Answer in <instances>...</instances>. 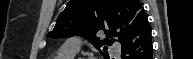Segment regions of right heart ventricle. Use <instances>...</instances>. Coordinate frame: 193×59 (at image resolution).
I'll return each mask as SVG.
<instances>
[{
    "label": "right heart ventricle",
    "instance_id": "1",
    "mask_svg": "<svg viewBox=\"0 0 193 59\" xmlns=\"http://www.w3.org/2000/svg\"><path fill=\"white\" fill-rule=\"evenodd\" d=\"M76 53L66 50L63 47L58 50L53 59H73Z\"/></svg>",
    "mask_w": 193,
    "mask_h": 59
}]
</instances>
